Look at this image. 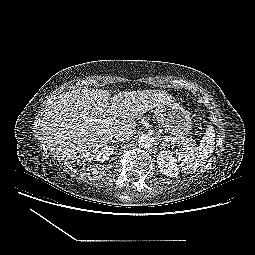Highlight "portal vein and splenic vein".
<instances>
[{
  "instance_id": "1",
  "label": "portal vein and splenic vein",
  "mask_w": 255,
  "mask_h": 255,
  "mask_svg": "<svg viewBox=\"0 0 255 255\" xmlns=\"http://www.w3.org/2000/svg\"><path fill=\"white\" fill-rule=\"evenodd\" d=\"M113 120H114V118H112V117H107V118H105V119H103V120H97V121L104 122V123H111ZM164 139H165L166 141H170V142H172V143H174V142L176 141V139H175V138H172V137H164ZM187 141H188V139H187Z\"/></svg>"
}]
</instances>
